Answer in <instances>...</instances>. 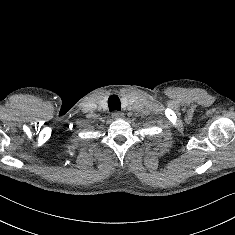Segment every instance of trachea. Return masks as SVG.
Wrapping results in <instances>:
<instances>
[{
  "label": "trachea",
  "instance_id": "3493384b",
  "mask_svg": "<svg viewBox=\"0 0 235 235\" xmlns=\"http://www.w3.org/2000/svg\"><path fill=\"white\" fill-rule=\"evenodd\" d=\"M108 106H109L110 111H114V110L119 111L121 108L119 97L117 95H111L108 99Z\"/></svg>",
  "mask_w": 235,
  "mask_h": 235
}]
</instances>
